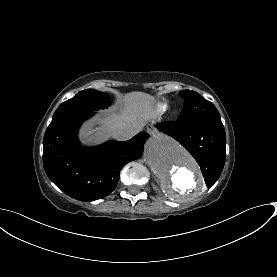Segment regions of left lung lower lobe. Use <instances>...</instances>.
Instances as JSON below:
<instances>
[{"mask_svg": "<svg viewBox=\"0 0 277 277\" xmlns=\"http://www.w3.org/2000/svg\"><path fill=\"white\" fill-rule=\"evenodd\" d=\"M157 128L190 152L199 164L208 187L217 181L226 159V136L221 119L163 122L157 124Z\"/></svg>", "mask_w": 277, "mask_h": 277, "instance_id": "left-lung-lower-lobe-1", "label": "left lung lower lobe"}]
</instances>
